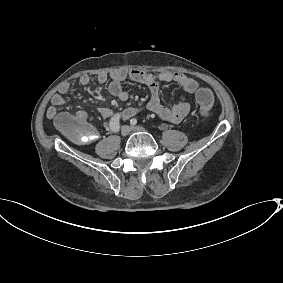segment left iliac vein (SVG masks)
Segmentation results:
<instances>
[{"instance_id": "obj_1", "label": "left iliac vein", "mask_w": 283, "mask_h": 283, "mask_svg": "<svg viewBox=\"0 0 283 283\" xmlns=\"http://www.w3.org/2000/svg\"><path fill=\"white\" fill-rule=\"evenodd\" d=\"M131 130L132 131H144V129L142 127H140V126H132Z\"/></svg>"}]
</instances>
